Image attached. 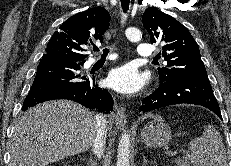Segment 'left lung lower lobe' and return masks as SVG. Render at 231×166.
I'll use <instances>...</instances> for the list:
<instances>
[{
    "label": "left lung lower lobe",
    "mask_w": 231,
    "mask_h": 166,
    "mask_svg": "<svg viewBox=\"0 0 231 166\" xmlns=\"http://www.w3.org/2000/svg\"><path fill=\"white\" fill-rule=\"evenodd\" d=\"M175 104L201 105L222 118L208 78L186 75L160 80L159 87L145 98L139 111L146 113Z\"/></svg>",
    "instance_id": "0a47b994"
}]
</instances>
